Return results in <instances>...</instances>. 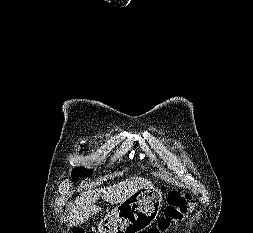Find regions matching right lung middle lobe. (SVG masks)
Returning <instances> with one entry per match:
<instances>
[{
	"mask_svg": "<svg viewBox=\"0 0 253 233\" xmlns=\"http://www.w3.org/2000/svg\"><path fill=\"white\" fill-rule=\"evenodd\" d=\"M92 174V170L86 169L84 167H76L73 169L72 178H78L80 176H90Z\"/></svg>",
	"mask_w": 253,
	"mask_h": 233,
	"instance_id": "obj_1",
	"label": "right lung middle lobe"
}]
</instances>
